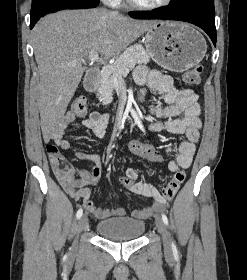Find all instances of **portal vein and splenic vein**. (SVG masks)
Segmentation results:
<instances>
[{
    "instance_id": "1",
    "label": "portal vein and splenic vein",
    "mask_w": 247,
    "mask_h": 280,
    "mask_svg": "<svg viewBox=\"0 0 247 280\" xmlns=\"http://www.w3.org/2000/svg\"><path fill=\"white\" fill-rule=\"evenodd\" d=\"M88 58H89V61L92 62V63L97 62V63H99L101 65L106 66V67L107 66H111V65L107 64L104 60L100 59V57H99L97 52L89 53V57ZM71 65L75 66L76 63L72 62Z\"/></svg>"
}]
</instances>
